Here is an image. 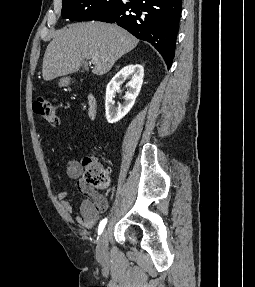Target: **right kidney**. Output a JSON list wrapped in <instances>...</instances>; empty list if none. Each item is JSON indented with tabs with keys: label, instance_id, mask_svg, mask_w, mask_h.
Returning a JSON list of instances; mask_svg holds the SVG:
<instances>
[{
	"label": "right kidney",
	"instance_id": "obj_1",
	"mask_svg": "<svg viewBox=\"0 0 255 287\" xmlns=\"http://www.w3.org/2000/svg\"><path fill=\"white\" fill-rule=\"evenodd\" d=\"M143 76H144V68L140 66V64H130V66H125L122 68L114 78H112L111 82H109L106 88V100H105V110H106V118L109 124H115V122H119L123 116H126L128 112H130L131 108H133L135 104V100L141 90V86L143 84ZM124 80H130L128 92L125 94V102L123 106H118L115 108L114 100L115 98V90L123 84Z\"/></svg>",
	"mask_w": 255,
	"mask_h": 287
}]
</instances>
